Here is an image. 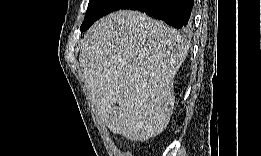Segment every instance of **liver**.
<instances>
[{
	"instance_id": "liver-1",
	"label": "liver",
	"mask_w": 261,
	"mask_h": 156,
	"mask_svg": "<svg viewBox=\"0 0 261 156\" xmlns=\"http://www.w3.org/2000/svg\"><path fill=\"white\" fill-rule=\"evenodd\" d=\"M188 51L179 31L137 11L119 10L94 23L81 41L79 63L99 123L133 141L162 133Z\"/></svg>"
}]
</instances>
